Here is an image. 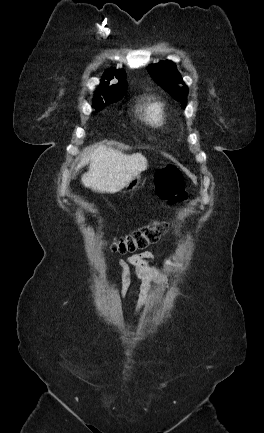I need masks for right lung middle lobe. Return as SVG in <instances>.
I'll use <instances>...</instances> for the list:
<instances>
[{
    "mask_svg": "<svg viewBox=\"0 0 264 433\" xmlns=\"http://www.w3.org/2000/svg\"><path fill=\"white\" fill-rule=\"evenodd\" d=\"M120 99L121 98H117V99L110 100V101H102V100L94 101L92 107H94L96 110H101L105 105L117 102Z\"/></svg>",
    "mask_w": 264,
    "mask_h": 433,
    "instance_id": "obj_1",
    "label": "right lung middle lobe"
}]
</instances>
